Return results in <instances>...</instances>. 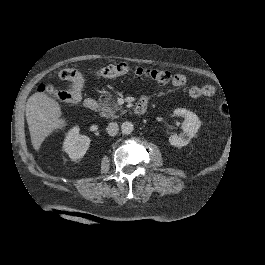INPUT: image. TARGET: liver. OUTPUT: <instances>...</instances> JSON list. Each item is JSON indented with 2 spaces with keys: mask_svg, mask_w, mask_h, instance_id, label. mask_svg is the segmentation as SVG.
Listing matches in <instances>:
<instances>
[{
  "mask_svg": "<svg viewBox=\"0 0 265 265\" xmlns=\"http://www.w3.org/2000/svg\"><path fill=\"white\" fill-rule=\"evenodd\" d=\"M59 103L45 93H35L26 104V120L33 148L38 151L42 142L55 129H62L66 123L61 117Z\"/></svg>",
  "mask_w": 265,
  "mask_h": 265,
  "instance_id": "liver-1",
  "label": "liver"
}]
</instances>
